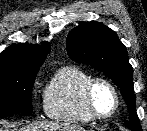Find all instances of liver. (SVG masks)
Wrapping results in <instances>:
<instances>
[{"label": "liver", "mask_w": 147, "mask_h": 131, "mask_svg": "<svg viewBox=\"0 0 147 131\" xmlns=\"http://www.w3.org/2000/svg\"><path fill=\"white\" fill-rule=\"evenodd\" d=\"M0 131H3L0 128ZM13 131H85L80 126L63 122H38Z\"/></svg>", "instance_id": "1"}]
</instances>
